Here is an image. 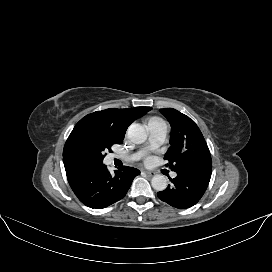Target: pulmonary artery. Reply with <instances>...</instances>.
Returning <instances> with one entry per match:
<instances>
[{
    "label": "pulmonary artery",
    "mask_w": 272,
    "mask_h": 272,
    "mask_svg": "<svg viewBox=\"0 0 272 272\" xmlns=\"http://www.w3.org/2000/svg\"><path fill=\"white\" fill-rule=\"evenodd\" d=\"M148 129H149V143L148 148L153 149L158 146H160L166 139L167 136V125L164 121H154L148 123ZM143 154V151H140L136 154H133L129 157L130 160H137L140 158ZM116 158H119V156H116ZM177 174L174 172L172 173V177H176Z\"/></svg>",
    "instance_id": "e3ab8cb5"
}]
</instances>
